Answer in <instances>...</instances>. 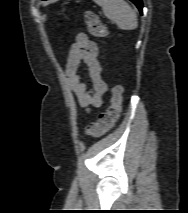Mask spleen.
Returning a JSON list of instances; mask_svg holds the SVG:
<instances>
[{"mask_svg":"<svg viewBox=\"0 0 188 213\" xmlns=\"http://www.w3.org/2000/svg\"><path fill=\"white\" fill-rule=\"evenodd\" d=\"M102 7L104 15L122 30H134L138 26L134 9L124 0H93Z\"/></svg>","mask_w":188,"mask_h":213,"instance_id":"obj_1","label":"spleen"}]
</instances>
